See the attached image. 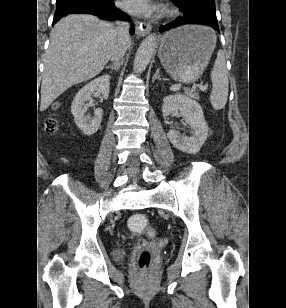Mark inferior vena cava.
Here are the masks:
<instances>
[{
	"label": "inferior vena cava",
	"mask_w": 286,
	"mask_h": 308,
	"mask_svg": "<svg viewBox=\"0 0 286 308\" xmlns=\"http://www.w3.org/2000/svg\"><path fill=\"white\" fill-rule=\"evenodd\" d=\"M129 28L130 25L127 22L118 21L116 23L115 31L117 39L111 55V60L116 63L123 58L127 50V42L130 39Z\"/></svg>",
	"instance_id": "obj_1"
}]
</instances>
